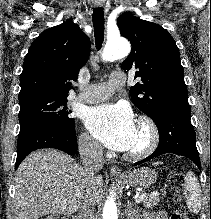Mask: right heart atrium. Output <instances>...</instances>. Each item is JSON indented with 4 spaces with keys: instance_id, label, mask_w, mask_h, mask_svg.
Here are the masks:
<instances>
[{
    "instance_id": "d8ad5b80",
    "label": "right heart atrium",
    "mask_w": 211,
    "mask_h": 219,
    "mask_svg": "<svg viewBox=\"0 0 211 219\" xmlns=\"http://www.w3.org/2000/svg\"><path fill=\"white\" fill-rule=\"evenodd\" d=\"M78 146L79 149L86 155L98 157L102 153L100 143L86 132H82L78 136Z\"/></svg>"
}]
</instances>
